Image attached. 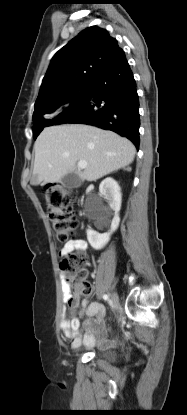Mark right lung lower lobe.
Listing matches in <instances>:
<instances>
[{"label": "right lung lower lobe", "instance_id": "right-lung-lower-lobe-1", "mask_svg": "<svg viewBox=\"0 0 187 415\" xmlns=\"http://www.w3.org/2000/svg\"><path fill=\"white\" fill-rule=\"evenodd\" d=\"M90 92L71 103L52 122L93 125L114 131L139 148V100L125 53L90 82Z\"/></svg>", "mask_w": 187, "mask_h": 415}]
</instances>
